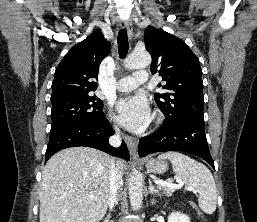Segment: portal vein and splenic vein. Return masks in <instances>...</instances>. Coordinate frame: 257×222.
<instances>
[{
    "instance_id": "portal-vein-and-splenic-vein-1",
    "label": "portal vein and splenic vein",
    "mask_w": 257,
    "mask_h": 222,
    "mask_svg": "<svg viewBox=\"0 0 257 222\" xmlns=\"http://www.w3.org/2000/svg\"><path fill=\"white\" fill-rule=\"evenodd\" d=\"M154 182L158 185L165 186L171 189H179L183 186L182 184H174V183H171L170 181H163V180H154ZM186 189L189 191L193 190L192 188H186ZM90 199H94V196H90Z\"/></svg>"
}]
</instances>
